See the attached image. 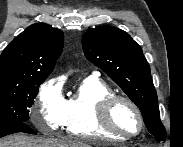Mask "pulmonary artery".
Returning a JSON list of instances; mask_svg holds the SVG:
<instances>
[{
  "mask_svg": "<svg viewBox=\"0 0 183 147\" xmlns=\"http://www.w3.org/2000/svg\"><path fill=\"white\" fill-rule=\"evenodd\" d=\"M97 76H99V73L98 72H93L92 73V77H97Z\"/></svg>",
  "mask_w": 183,
  "mask_h": 147,
  "instance_id": "1",
  "label": "pulmonary artery"
}]
</instances>
